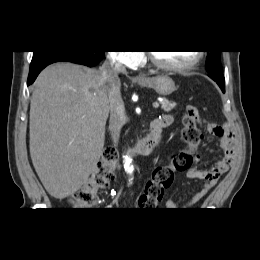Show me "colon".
Instances as JSON below:
<instances>
[{
    "label": "colon",
    "instance_id": "1",
    "mask_svg": "<svg viewBox=\"0 0 260 260\" xmlns=\"http://www.w3.org/2000/svg\"><path fill=\"white\" fill-rule=\"evenodd\" d=\"M197 114L198 110L195 106L187 107L182 130V138L187 148L174 154L169 163L157 166L146 183L143 195L153 205H157L162 200L165 191L172 186L176 173L189 169L194 163L197 146L203 137L196 124ZM117 158L113 148L108 147L104 150L102 159L91 177L74 193L71 201L76 206L88 208L94 205L97 192L106 189L114 179Z\"/></svg>",
    "mask_w": 260,
    "mask_h": 260
}]
</instances>
